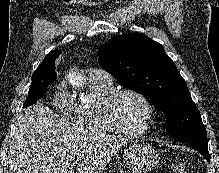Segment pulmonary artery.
<instances>
[{
  "instance_id": "e3ab8cb5",
  "label": "pulmonary artery",
  "mask_w": 219,
  "mask_h": 173,
  "mask_svg": "<svg viewBox=\"0 0 219 173\" xmlns=\"http://www.w3.org/2000/svg\"><path fill=\"white\" fill-rule=\"evenodd\" d=\"M88 77L90 81H98L104 83H111L112 77L111 75L99 68H92L88 70Z\"/></svg>"
}]
</instances>
